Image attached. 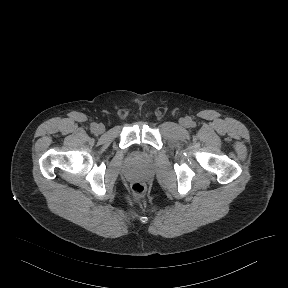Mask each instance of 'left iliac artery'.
Returning a JSON list of instances; mask_svg holds the SVG:
<instances>
[{
    "label": "left iliac artery",
    "instance_id": "44dca946",
    "mask_svg": "<svg viewBox=\"0 0 288 288\" xmlns=\"http://www.w3.org/2000/svg\"><path fill=\"white\" fill-rule=\"evenodd\" d=\"M190 125H191V127H194V126H195V123H194V122H191Z\"/></svg>",
    "mask_w": 288,
    "mask_h": 288
}]
</instances>
